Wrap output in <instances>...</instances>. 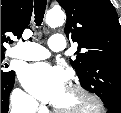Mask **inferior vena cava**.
Here are the masks:
<instances>
[{"instance_id":"inferior-vena-cava-1","label":"inferior vena cava","mask_w":121,"mask_h":113,"mask_svg":"<svg viewBox=\"0 0 121 113\" xmlns=\"http://www.w3.org/2000/svg\"><path fill=\"white\" fill-rule=\"evenodd\" d=\"M36 104L27 106L26 104H17L12 107L11 113H35Z\"/></svg>"}]
</instances>
